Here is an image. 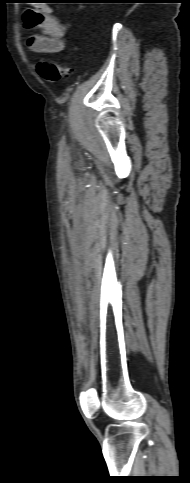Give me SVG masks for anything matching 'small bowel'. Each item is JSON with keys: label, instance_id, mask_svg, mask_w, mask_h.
Listing matches in <instances>:
<instances>
[{"label": "small bowel", "instance_id": "1", "mask_svg": "<svg viewBox=\"0 0 190 483\" xmlns=\"http://www.w3.org/2000/svg\"><path fill=\"white\" fill-rule=\"evenodd\" d=\"M52 8L42 6L40 9L26 10L23 22L28 29H39L41 34L29 36L28 48L35 53L56 54L65 47L63 37L66 28L51 15Z\"/></svg>", "mask_w": 190, "mask_h": 483}]
</instances>
